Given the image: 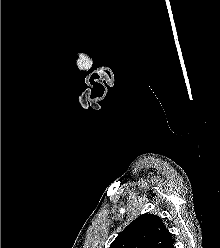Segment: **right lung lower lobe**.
<instances>
[{
	"instance_id": "1",
	"label": "right lung lower lobe",
	"mask_w": 220,
	"mask_h": 248,
	"mask_svg": "<svg viewBox=\"0 0 220 248\" xmlns=\"http://www.w3.org/2000/svg\"><path fill=\"white\" fill-rule=\"evenodd\" d=\"M167 248H174V242H172Z\"/></svg>"
}]
</instances>
